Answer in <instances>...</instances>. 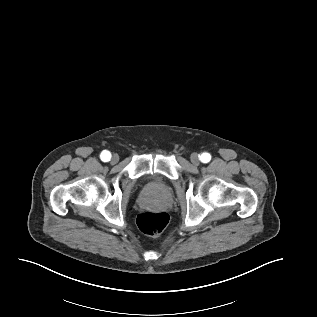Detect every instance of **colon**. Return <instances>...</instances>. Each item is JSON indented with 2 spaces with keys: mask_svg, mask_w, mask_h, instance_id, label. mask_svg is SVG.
Here are the masks:
<instances>
[{
  "mask_svg": "<svg viewBox=\"0 0 317 317\" xmlns=\"http://www.w3.org/2000/svg\"><path fill=\"white\" fill-rule=\"evenodd\" d=\"M169 216L165 212H143L137 217L138 228L151 237L159 236L166 228Z\"/></svg>",
  "mask_w": 317,
  "mask_h": 317,
  "instance_id": "1",
  "label": "colon"
}]
</instances>
